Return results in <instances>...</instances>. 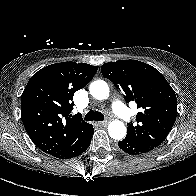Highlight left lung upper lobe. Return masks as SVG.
Wrapping results in <instances>:
<instances>
[{
    "instance_id": "obj_1",
    "label": "left lung upper lobe",
    "mask_w": 196,
    "mask_h": 196,
    "mask_svg": "<svg viewBox=\"0 0 196 196\" xmlns=\"http://www.w3.org/2000/svg\"><path fill=\"white\" fill-rule=\"evenodd\" d=\"M103 76L136 101L141 111L137 125L127 127V138L155 148L166 139L177 116V98L164 76L154 67L137 60H119L102 65Z\"/></svg>"
}]
</instances>
